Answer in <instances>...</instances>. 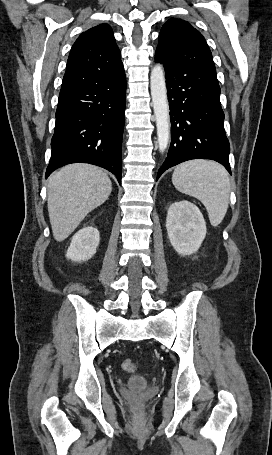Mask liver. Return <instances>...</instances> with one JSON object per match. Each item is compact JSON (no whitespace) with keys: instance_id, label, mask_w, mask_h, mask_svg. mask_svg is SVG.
I'll return each mask as SVG.
<instances>
[{"instance_id":"6515ba94","label":"liver","mask_w":272,"mask_h":455,"mask_svg":"<svg viewBox=\"0 0 272 455\" xmlns=\"http://www.w3.org/2000/svg\"><path fill=\"white\" fill-rule=\"evenodd\" d=\"M111 191L109 177L93 165L76 163L53 173L48 180L47 203L55 240H65Z\"/></svg>"}]
</instances>
